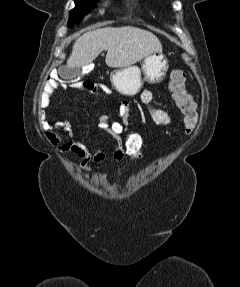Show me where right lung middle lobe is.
Wrapping results in <instances>:
<instances>
[{
  "mask_svg": "<svg viewBox=\"0 0 240 287\" xmlns=\"http://www.w3.org/2000/svg\"><path fill=\"white\" fill-rule=\"evenodd\" d=\"M97 1L98 0H75L76 7L70 11L68 26L73 27L75 23H79Z\"/></svg>",
  "mask_w": 240,
  "mask_h": 287,
  "instance_id": "1",
  "label": "right lung middle lobe"
}]
</instances>
